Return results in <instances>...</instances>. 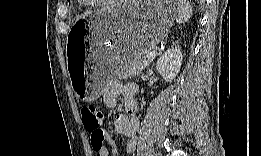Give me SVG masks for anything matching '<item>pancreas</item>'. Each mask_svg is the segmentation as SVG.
<instances>
[{"instance_id":"cf45deb5","label":"pancreas","mask_w":261,"mask_h":156,"mask_svg":"<svg viewBox=\"0 0 261 156\" xmlns=\"http://www.w3.org/2000/svg\"><path fill=\"white\" fill-rule=\"evenodd\" d=\"M148 54L146 52L140 58L135 59L131 66H128L124 73L123 77H130L140 74L151 62V59H144V57Z\"/></svg>"}]
</instances>
